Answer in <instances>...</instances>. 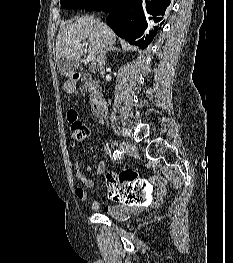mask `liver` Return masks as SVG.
Instances as JSON below:
<instances>
[{"instance_id": "6515ba94", "label": "liver", "mask_w": 233, "mask_h": 263, "mask_svg": "<svg viewBox=\"0 0 233 263\" xmlns=\"http://www.w3.org/2000/svg\"><path fill=\"white\" fill-rule=\"evenodd\" d=\"M85 40L87 42L85 43ZM115 40L114 32L92 16H84L64 26L56 39V61L62 59L60 72L70 76L78 67L86 44L89 54L98 56L103 41Z\"/></svg>"}]
</instances>
